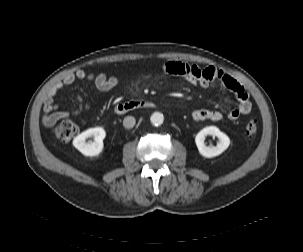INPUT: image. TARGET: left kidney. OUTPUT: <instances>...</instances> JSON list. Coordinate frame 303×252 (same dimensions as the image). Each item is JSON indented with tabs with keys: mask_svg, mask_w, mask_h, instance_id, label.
Returning a JSON list of instances; mask_svg holds the SVG:
<instances>
[{
	"mask_svg": "<svg viewBox=\"0 0 303 252\" xmlns=\"http://www.w3.org/2000/svg\"><path fill=\"white\" fill-rule=\"evenodd\" d=\"M207 135L216 136L219 139V143L215 147L206 146L205 137ZM195 142L199 150V153L202 156L207 158H212L220 155L228 148L230 144V139L225 133L221 132L216 126H208L198 132V134L195 137Z\"/></svg>",
	"mask_w": 303,
	"mask_h": 252,
	"instance_id": "1",
	"label": "left kidney"
}]
</instances>
